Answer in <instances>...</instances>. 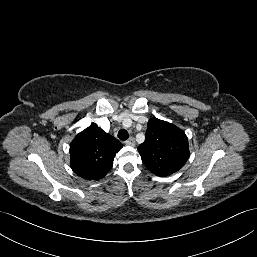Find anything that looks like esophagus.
<instances>
[{"label":"esophagus","mask_w":257,"mask_h":257,"mask_svg":"<svg viewBox=\"0 0 257 257\" xmlns=\"http://www.w3.org/2000/svg\"><path fill=\"white\" fill-rule=\"evenodd\" d=\"M125 143L129 146H135V140L133 137H130Z\"/></svg>","instance_id":"obj_1"}]
</instances>
